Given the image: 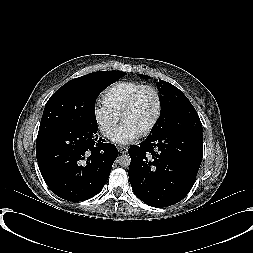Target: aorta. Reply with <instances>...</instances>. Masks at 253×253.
<instances>
[{
	"instance_id": "obj_1",
	"label": "aorta",
	"mask_w": 253,
	"mask_h": 253,
	"mask_svg": "<svg viewBox=\"0 0 253 253\" xmlns=\"http://www.w3.org/2000/svg\"><path fill=\"white\" fill-rule=\"evenodd\" d=\"M117 163L122 166V167H128L130 166V163H131V158L129 155L127 154H123V155H120L118 158H117Z\"/></svg>"
}]
</instances>
